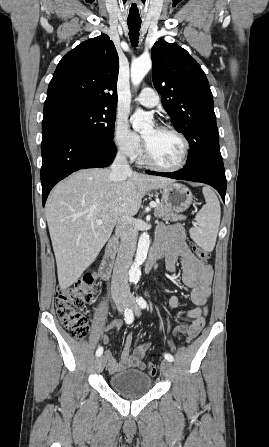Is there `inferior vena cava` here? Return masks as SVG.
<instances>
[{
  "mask_svg": "<svg viewBox=\"0 0 269 447\" xmlns=\"http://www.w3.org/2000/svg\"><path fill=\"white\" fill-rule=\"evenodd\" d=\"M132 174V170L127 162L125 150H119L112 166L110 180L113 182H121L126 180L127 176ZM116 233L121 237L119 251L114 263L111 293L112 295H120L124 293L129 297L130 291L128 287V269L132 263L133 253L137 243V227L131 216H121L116 224Z\"/></svg>",
  "mask_w": 269,
  "mask_h": 447,
  "instance_id": "1",
  "label": "inferior vena cava"
}]
</instances>
